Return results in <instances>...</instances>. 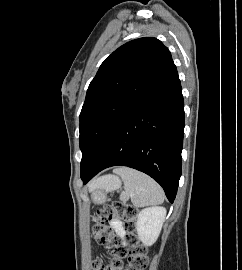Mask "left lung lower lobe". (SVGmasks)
<instances>
[{"mask_svg": "<svg viewBox=\"0 0 242 270\" xmlns=\"http://www.w3.org/2000/svg\"><path fill=\"white\" fill-rule=\"evenodd\" d=\"M184 102L176 66L117 125L81 178L122 165L155 179L173 203L181 176Z\"/></svg>", "mask_w": 242, "mask_h": 270, "instance_id": "left-lung-lower-lobe-1", "label": "left lung lower lobe"}]
</instances>
